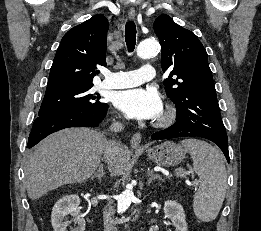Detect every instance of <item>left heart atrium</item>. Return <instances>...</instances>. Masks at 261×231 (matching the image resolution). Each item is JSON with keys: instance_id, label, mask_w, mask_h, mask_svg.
I'll list each match as a JSON object with an SVG mask.
<instances>
[{"instance_id": "1", "label": "left heart atrium", "mask_w": 261, "mask_h": 231, "mask_svg": "<svg viewBox=\"0 0 261 231\" xmlns=\"http://www.w3.org/2000/svg\"><path fill=\"white\" fill-rule=\"evenodd\" d=\"M115 105L120 111L137 119L152 120L162 112V101L154 88L121 91L116 96Z\"/></svg>"}]
</instances>
